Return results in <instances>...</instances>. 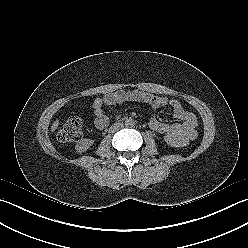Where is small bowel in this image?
<instances>
[{
  "instance_id": "1",
  "label": "small bowel",
  "mask_w": 248,
  "mask_h": 248,
  "mask_svg": "<svg viewBox=\"0 0 248 248\" xmlns=\"http://www.w3.org/2000/svg\"><path fill=\"white\" fill-rule=\"evenodd\" d=\"M126 101H135L147 104L152 112L159 107L170 106L174 117L179 123H166L151 116L148 125L151 130L160 134H172L179 137L186 144L197 137L198 120L194 113L187 111L174 99L154 95L141 90H118L97 97L93 101L94 124L98 129H104L109 124V119L104 112L105 106L120 104Z\"/></svg>"
}]
</instances>
